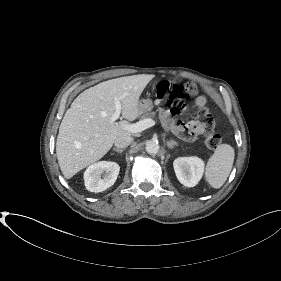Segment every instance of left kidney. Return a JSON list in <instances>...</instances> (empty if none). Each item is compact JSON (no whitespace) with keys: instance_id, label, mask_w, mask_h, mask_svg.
<instances>
[{"instance_id":"left-kidney-1","label":"left kidney","mask_w":281,"mask_h":281,"mask_svg":"<svg viewBox=\"0 0 281 281\" xmlns=\"http://www.w3.org/2000/svg\"><path fill=\"white\" fill-rule=\"evenodd\" d=\"M204 166V161L195 156L179 157L173 162L177 179L186 187L198 184L203 176Z\"/></svg>"}]
</instances>
